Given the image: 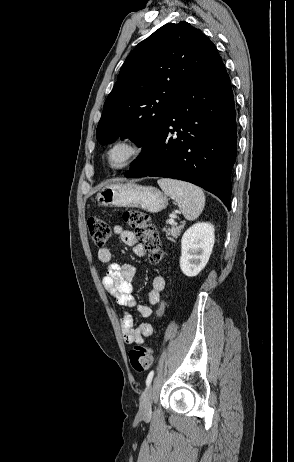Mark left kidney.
<instances>
[{"instance_id":"left-kidney-1","label":"left kidney","mask_w":294,"mask_h":462,"mask_svg":"<svg viewBox=\"0 0 294 462\" xmlns=\"http://www.w3.org/2000/svg\"><path fill=\"white\" fill-rule=\"evenodd\" d=\"M214 226L199 222L188 228L181 239L180 268L183 274L194 277L206 266L212 253Z\"/></svg>"}]
</instances>
